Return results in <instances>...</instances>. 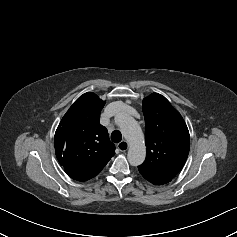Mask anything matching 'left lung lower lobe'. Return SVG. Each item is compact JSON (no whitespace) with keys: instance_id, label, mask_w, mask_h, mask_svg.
<instances>
[{"instance_id":"1","label":"left lung lower lobe","mask_w":237,"mask_h":237,"mask_svg":"<svg viewBox=\"0 0 237 237\" xmlns=\"http://www.w3.org/2000/svg\"><path fill=\"white\" fill-rule=\"evenodd\" d=\"M139 172L146 180H148L149 182L155 185H163L171 181L169 179L156 176L148 171L139 170Z\"/></svg>"}]
</instances>
